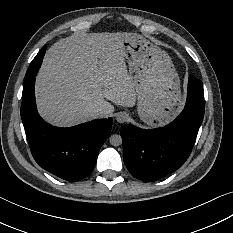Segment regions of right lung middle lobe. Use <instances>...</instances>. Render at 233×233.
<instances>
[{
    "label": "right lung middle lobe",
    "mask_w": 233,
    "mask_h": 233,
    "mask_svg": "<svg viewBox=\"0 0 233 233\" xmlns=\"http://www.w3.org/2000/svg\"><path fill=\"white\" fill-rule=\"evenodd\" d=\"M29 74H30V72H27V73H26L25 82L28 81V79H29V78H28V77H29ZM25 82H24V83H25Z\"/></svg>",
    "instance_id": "obj_1"
}]
</instances>
